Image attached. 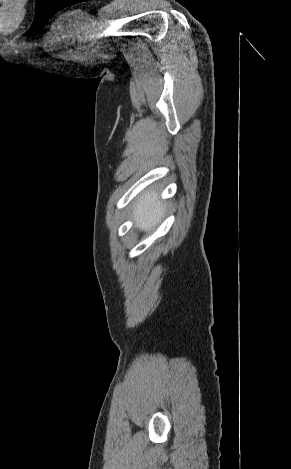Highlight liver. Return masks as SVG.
<instances>
[{
  "instance_id": "1",
  "label": "liver",
  "mask_w": 291,
  "mask_h": 469,
  "mask_svg": "<svg viewBox=\"0 0 291 469\" xmlns=\"http://www.w3.org/2000/svg\"><path fill=\"white\" fill-rule=\"evenodd\" d=\"M164 213L165 205L158 200V193L145 192L133 207L135 226L143 231L152 230L160 223Z\"/></svg>"
}]
</instances>
